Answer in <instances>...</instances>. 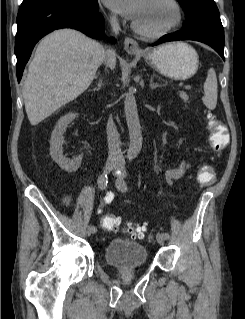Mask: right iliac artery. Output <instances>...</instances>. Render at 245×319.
Segmentation results:
<instances>
[{
    "mask_svg": "<svg viewBox=\"0 0 245 319\" xmlns=\"http://www.w3.org/2000/svg\"><path fill=\"white\" fill-rule=\"evenodd\" d=\"M107 182H108V176L107 174H102L99 176L98 178V184L100 186L101 189H105V187L107 186ZM113 199V194L110 192L107 194V196L105 197V201L107 202H111ZM92 232L96 233L97 232V228L95 226H91Z\"/></svg>",
    "mask_w": 245,
    "mask_h": 319,
    "instance_id": "82829eb1",
    "label": "right iliac artery"
}]
</instances>
